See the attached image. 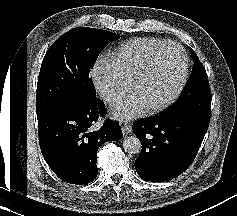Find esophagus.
Returning <instances> with one entry per match:
<instances>
[{
    "mask_svg": "<svg viewBox=\"0 0 237 216\" xmlns=\"http://www.w3.org/2000/svg\"><path fill=\"white\" fill-rule=\"evenodd\" d=\"M121 129H122L123 134L127 135V134H129L132 131V125L129 122H124L121 125Z\"/></svg>",
    "mask_w": 237,
    "mask_h": 216,
    "instance_id": "1",
    "label": "esophagus"
}]
</instances>
